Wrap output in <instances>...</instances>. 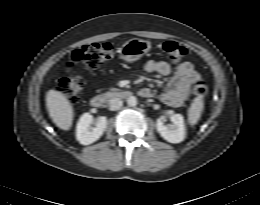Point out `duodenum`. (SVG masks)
I'll return each mask as SVG.
<instances>
[{"mask_svg":"<svg viewBox=\"0 0 260 205\" xmlns=\"http://www.w3.org/2000/svg\"><path fill=\"white\" fill-rule=\"evenodd\" d=\"M132 96V92L126 89L110 90L102 94L94 95L90 102L93 107L100 108L110 99L115 98H129Z\"/></svg>","mask_w":260,"mask_h":205,"instance_id":"410a0bca","label":"duodenum"}]
</instances>
